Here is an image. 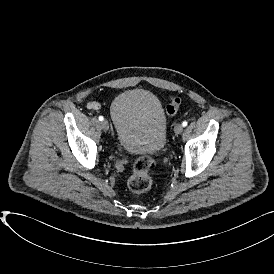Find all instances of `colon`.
Segmentation results:
<instances>
[{"instance_id":"5ec220e1","label":"colon","mask_w":274,"mask_h":274,"mask_svg":"<svg viewBox=\"0 0 274 274\" xmlns=\"http://www.w3.org/2000/svg\"><path fill=\"white\" fill-rule=\"evenodd\" d=\"M180 99L172 96L167 105L166 113L173 116L180 106ZM155 168V162L151 157H137L132 164V171L127 179L128 188L134 193H144L150 190L154 184V179L150 171Z\"/></svg>"}]
</instances>
